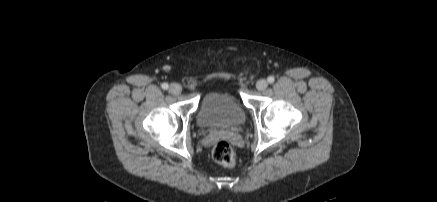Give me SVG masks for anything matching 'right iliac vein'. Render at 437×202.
I'll list each match as a JSON object with an SVG mask.
<instances>
[{
    "mask_svg": "<svg viewBox=\"0 0 437 202\" xmlns=\"http://www.w3.org/2000/svg\"><path fill=\"white\" fill-rule=\"evenodd\" d=\"M182 91V88L179 84H171L169 87V92L173 95H179Z\"/></svg>",
    "mask_w": 437,
    "mask_h": 202,
    "instance_id": "obj_1",
    "label": "right iliac vein"
}]
</instances>
